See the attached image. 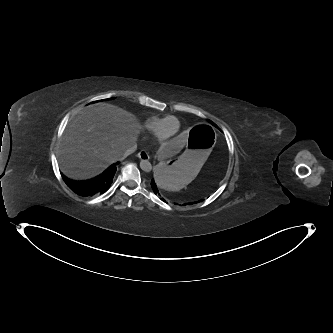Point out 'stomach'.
Listing matches in <instances>:
<instances>
[{
	"instance_id": "stomach-1",
	"label": "stomach",
	"mask_w": 333,
	"mask_h": 333,
	"mask_svg": "<svg viewBox=\"0 0 333 333\" xmlns=\"http://www.w3.org/2000/svg\"><path fill=\"white\" fill-rule=\"evenodd\" d=\"M187 151L177 160L157 162L150 171L155 185L167 192L180 190L194 180L216 144L214 127L199 123L191 130Z\"/></svg>"
}]
</instances>
